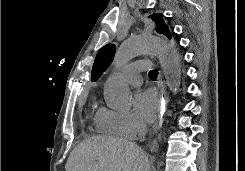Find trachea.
<instances>
[{
	"label": "trachea",
	"instance_id": "1",
	"mask_svg": "<svg viewBox=\"0 0 245 171\" xmlns=\"http://www.w3.org/2000/svg\"><path fill=\"white\" fill-rule=\"evenodd\" d=\"M148 75L151 79L156 78L158 76V71L157 70H151Z\"/></svg>",
	"mask_w": 245,
	"mask_h": 171
}]
</instances>
